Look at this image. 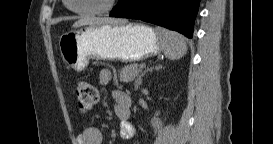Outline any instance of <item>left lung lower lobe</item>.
Returning <instances> with one entry per match:
<instances>
[{
  "instance_id": "0a47b994",
  "label": "left lung lower lobe",
  "mask_w": 273,
  "mask_h": 144,
  "mask_svg": "<svg viewBox=\"0 0 273 144\" xmlns=\"http://www.w3.org/2000/svg\"><path fill=\"white\" fill-rule=\"evenodd\" d=\"M200 0H119L110 16L140 19L193 37Z\"/></svg>"
}]
</instances>
